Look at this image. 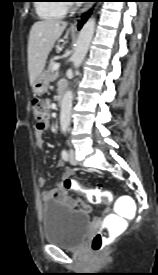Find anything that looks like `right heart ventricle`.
I'll list each match as a JSON object with an SVG mask.
<instances>
[{
  "mask_svg": "<svg viewBox=\"0 0 158 275\" xmlns=\"http://www.w3.org/2000/svg\"><path fill=\"white\" fill-rule=\"evenodd\" d=\"M61 0H42L37 4L38 14L44 19H61L67 12V6Z\"/></svg>",
  "mask_w": 158,
  "mask_h": 275,
  "instance_id": "obj_1",
  "label": "right heart ventricle"
}]
</instances>
